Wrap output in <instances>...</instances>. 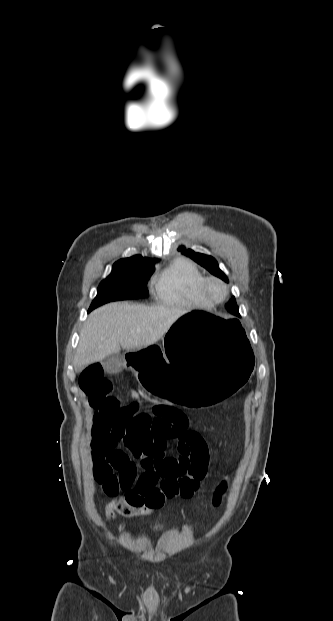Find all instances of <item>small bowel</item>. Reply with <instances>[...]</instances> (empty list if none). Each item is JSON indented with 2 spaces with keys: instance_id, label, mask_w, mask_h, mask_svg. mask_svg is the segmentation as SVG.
I'll return each mask as SVG.
<instances>
[{
  "instance_id": "1",
  "label": "small bowel",
  "mask_w": 333,
  "mask_h": 621,
  "mask_svg": "<svg viewBox=\"0 0 333 621\" xmlns=\"http://www.w3.org/2000/svg\"><path fill=\"white\" fill-rule=\"evenodd\" d=\"M120 366V357L113 355L88 364L79 378V389L95 410L90 445L93 472L100 464L122 469L131 458L138 459L144 472L122 497L133 508L158 509L167 499L192 497L208 470L204 439L174 405L157 404L151 412H143L139 394L130 387L126 391L133 402L123 404L105 378V373ZM170 439L178 440V457L164 456Z\"/></svg>"
}]
</instances>
